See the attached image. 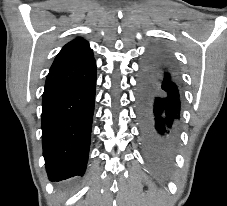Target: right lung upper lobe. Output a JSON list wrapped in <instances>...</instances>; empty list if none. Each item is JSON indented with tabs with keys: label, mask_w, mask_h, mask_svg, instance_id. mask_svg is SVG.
I'll return each instance as SVG.
<instances>
[{
	"label": "right lung upper lobe",
	"mask_w": 227,
	"mask_h": 206,
	"mask_svg": "<svg viewBox=\"0 0 227 206\" xmlns=\"http://www.w3.org/2000/svg\"><path fill=\"white\" fill-rule=\"evenodd\" d=\"M92 56L93 52L89 43L81 38H77L63 47L56 56L50 69L75 61L84 60Z\"/></svg>",
	"instance_id": "obj_1"
}]
</instances>
